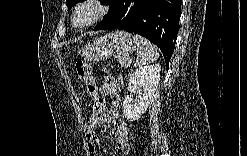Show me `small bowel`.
<instances>
[{
  "label": "small bowel",
  "mask_w": 247,
  "mask_h": 156,
  "mask_svg": "<svg viewBox=\"0 0 247 156\" xmlns=\"http://www.w3.org/2000/svg\"><path fill=\"white\" fill-rule=\"evenodd\" d=\"M121 89L117 80L112 76L105 77L100 89L99 97L105 98V103L101 106L100 112H91L84 125V133L87 140L88 151L90 155H97V148L100 145V139L95 130L103 124L115 123L116 128L113 131V139L117 149L124 153L127 150L129 139V127L124 119L119 116L118 106L120 103ZM107 101L111 103L112 112L108 114Z\"/></svg>",
  "instance_id": "1"
}]
</instances>
